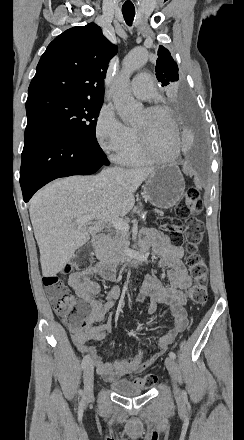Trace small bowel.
Wrapping results in <instances>:
<instances>
[{
  "mask_svg": "<svg viewBox=\"0 0 244 440\" xmlns=\"http://www.w3.org/2000/svg\"><path fill=\"white\" fill-rule=\"evenodd\" d=\"M140 244L144 249L150 247L153 249L157 255L156 265L166 270L169 284L162 283L154 271L147 273L141 283L136 301L139 303L148 301L147 311L150 314L154 313L159 305L169 308L174 324L155 345L141 348L139 353L128 359L116 361L113 364L104 362L98 350L90 345V342H107V335L112 330L111 320L97 324L104 321L107 313L120 298V290L116 287L109 289L103 298H99L101 287L92 280V277L99 276L104 282L110 283L115 280L114 272L103 264L97 263L75 271L69 277V285L77 297L80 300H86L87 306L92 307V316H88L90 324L86 327L85 335L83 338L71 339L81 354L86 351L92 354L89 362L94 365L96 372L104 380L110 382L118 381L148 368L157 356L187 329L189 324L184 290L191 286L192 277L182 261L183 247L172 244L160 231L151 228L141 232ZM110 352L111 346L109 345L106 353Z\"/></svg>",
  "mask_w": 244,
  "mask_h": 440,
  "instance_id": "1",
  "label": "small bowel"
}]
</instances>
